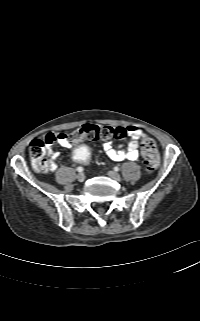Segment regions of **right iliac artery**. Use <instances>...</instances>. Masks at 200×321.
<instances>
[{"label": "right iliac artery", "instance_id": "82829eb1", "mask_svg": "<svg viewBox=\"0 0 200 321\" xmlns=\"http://www.w3.org/2000/svg\"><path fill=\"white\" fill-rule=\"evenodd\" d=\"M77 171H78V172H82V171H83V168H82V167H78V168H77Z\"/></svg>", "mask_w": 200, "mask_h": 321}]
</instances>
